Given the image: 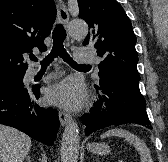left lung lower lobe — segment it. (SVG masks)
Here are the masks:
<instances>
[{
	"instance_id": "1",
	"label": "left lung lower lobe",
	"mask_w": 168,
	"mask_h": 162,
	"mask_svg": "<svg viewBox=\"0 0 168 162\" xmlns=\"http://www.w3.org/2000/svg\"><path fill=\"white\" fill-rule=\"evenodd\" d=\"M95 88L103 94L98 96L90 113L83 115L86 136L111 125L129 123L152 129L138 82L119 76H105Z\"/></svg>"
}]
</instances>
